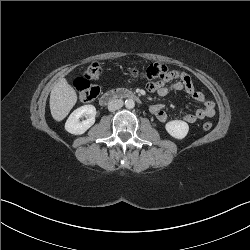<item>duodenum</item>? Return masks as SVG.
Wrapping results in <instances>:
<instances>
[{"label":"duodenum","mask_w":250,"mask_h":250,"mask_svg":"<svg viewBox=\"0 0 250 250\" xmlns=\"http://www.w3.org/2000/svg\"><path fill=\"white\" fill-rule=\"evenodd\" d=\"M117 99H133V100H139V97L129 91V90H125V89H115V90H110V91H107L105 92L101 98H100V104L101 105H107L109 103H111L112 101L114 100H117Z\"/></svg>","instance_id":"obj_1"}]
</instances>
